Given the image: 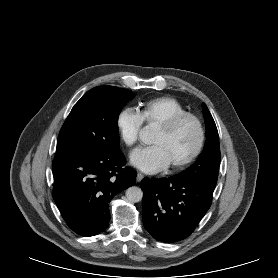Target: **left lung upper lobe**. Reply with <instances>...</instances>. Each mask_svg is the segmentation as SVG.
Masks as SVG:
<instances>
[{"label": "left lung upper lobe", "mask_w": 278, "mask_h": 278, "mask_svg": "<svg viewBox=\"0 0 278 278\" xmlns=\"http://www.w3.org/2000/svg\"><path fill=\"white\" fill-rule=\"evenodd\" d=\"M207 140L197 161L183 172L174 175L177 179H195L217 183L220 166V146L216 124L205 103L202 105Z\"/></svg>", "instance_id": "1"}]
</instances>
